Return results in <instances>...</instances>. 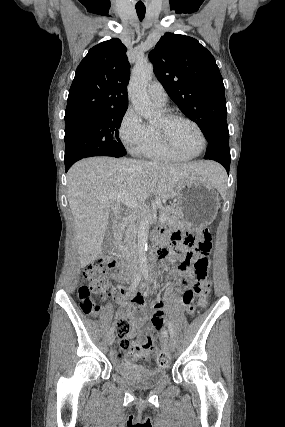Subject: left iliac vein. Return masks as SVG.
I'll use <instances>...</instances> for the list:
<instances>
[{
  "label": "left iliac vein",
  "instance_id": "4c4485c4",
  "mask_svg": "<svg viewBox=\"0 0 285 427\" xmlns=\"http://www.w3.org/2000/svg\"><path fill=\"white\" fill-rule=\"evenodd\" d=\"M169 348L172 352L176 351L177 346H176V343L173 339H170V341H169Z\"/></svg>",
  "mask_w": 285,
  "mask_h": 427
}]
</instances>
